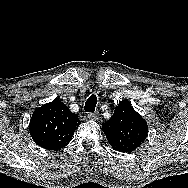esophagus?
<instances>
[{"label":"esophagus","instance_id":"34e87169","mask_svg":"<svg viewBox=\"0 0 188 188\" xmlns=\"http://www.w3.org/2000/svg\"><path fill=\"white\" fill-rule=\"evenodd\" d=\"M88 118L95 121H100L101 119L99 113H89Z\"/></svg>","mask_w":188,"mask_h":188}]
</instances>
